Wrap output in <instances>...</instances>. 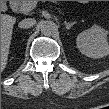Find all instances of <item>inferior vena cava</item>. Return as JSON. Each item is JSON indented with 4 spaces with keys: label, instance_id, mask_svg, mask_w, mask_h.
Here are the masks:
<instances>
[{
    "label": "inferior vena cava",
    "instance_id": "obj_1",
    "mask_svg": "<svg viewBox=\"0 0 109 109\" xmlns=\"http://www.w3.org/2000/svg\"><path fill=\"white\" fill-rule=\"evenodd\" d=\"M36 24L35 19L27 18L23 19L21 22H19V27L20 28H31Z\"/></svg>",
    "mask_w": 109,
    "mask_h": 109
}]
</instances>
